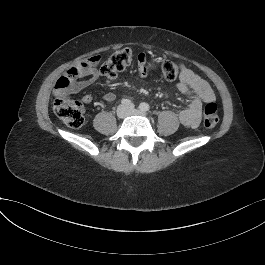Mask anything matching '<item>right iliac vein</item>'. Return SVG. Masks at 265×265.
<instances>
[{
    "label": "right iliac vein",
    "instance_id": "right-iliac-vein-1",
    "mask_svg": "<svg viewBox=\"0 0 265 265\" xmlns=\"http://www.w3.org/2000/svg\"><path fill=\"white\" fill-rule=\"evenodd\" d=\"M116 113L119 118H125L128 115V110L124 105H120L118 106Z\"/></svg>",
    "mask_w": 265,
    "mask_h": 265
}]
</instances>
